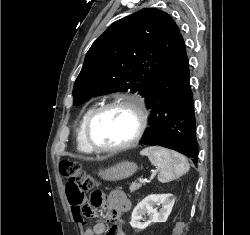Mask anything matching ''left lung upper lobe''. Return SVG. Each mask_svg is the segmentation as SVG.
<instances>
[{"label": "left lung upper lobe", "mask_w": 250, "mask_h": 235, "mask_svg": "<svg viewBox=\"0 0 250 235\" xmlns=\"http://www.w3.org/2000/svg\"><path fill=\"white\" fill-rule=\"evenodd\" d=\"M180 31L164 11L145 8L113 24L92 44L73 88V104L118 91L145 97Z\"/></svg>", "instance_id": "1"}]
</instances>
